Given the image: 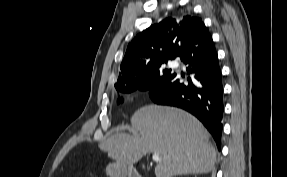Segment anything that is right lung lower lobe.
<instances>
[{"mask_svg":"<svg viewBox=\"0 0 287 177\" xmlns=\"http://www.w3.org/2000/svg\"><path fill=\"white\" fill-rule=\"evenodd\" d=\"M179 58L188 65L191 77L185 83L179 82L176 73L154 85L149 91L153 102L187 110L196 116L221 148L223 129V86L217 52L207 29L188 42Z\"/></svg>","mask_w":287,"mask_h":177,"instance_id":"obj_1","label":"right lung lower lobe"}]
</instances>
